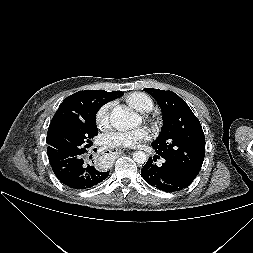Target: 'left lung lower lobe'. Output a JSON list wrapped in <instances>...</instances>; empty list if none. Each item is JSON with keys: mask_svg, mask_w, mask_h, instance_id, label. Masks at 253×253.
I'll use <instances>...</instances> for the list:
<instances>
[{"mask_svg": "<svg viewBox=\"0 0 253 253\" xmlns=\"http://www.w3.org/2000/svg\"><path fill=\"white\" fill-rule=\"evenodd\" d=\"M159 155L153 157L156 161ZM164 163L157 166L149 158L141 169V175L151 186L165 192L180 191L188 187L196 178L194 174L186 170L180 164L164 158Z\"/></svg>", "mask_w": 253, "mask_h": 253, "instance_id": "left-lung-lower-lobe-1", "label": "left lung lower lobe"}]
</instances>
